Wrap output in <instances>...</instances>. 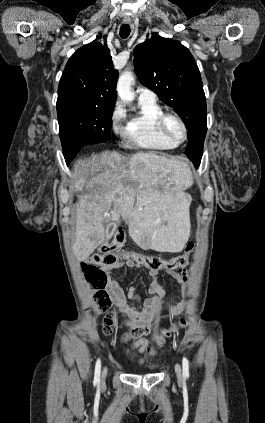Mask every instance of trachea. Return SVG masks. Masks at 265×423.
I'll return each instance as SVG.
<instances>
[{
    "label": "trachea",
    "instance_id": "trachea-1",
    "mask_svg": "<svg viewBox=\"0 0 265 423\" xmlns=\"http://www.w3.org/2000/svg\"><path fill=\"white\" fill-rule=\"evenodd\" d=\"M130 35V26L123 24L120 28V36L122 39H126Z\"/></svg>",
    "mask_w": 265,
    "mask_h": 423
}]
</instances>
